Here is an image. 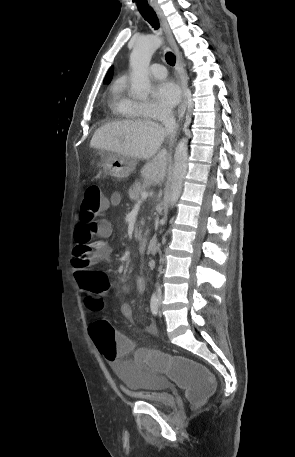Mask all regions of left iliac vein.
<instances>
[{
  "label": "left iliac vein",
  "instance_id": "left-iliac-vein-1",
  "mask_svg": "<svg viewBox=\"0 0 295 457\" xmlns=\"http://www.w3.org/2000/svg\"><path fill=\"white\" fill-rule=\"evenodd\" d=\"M159 305L161 306V302L159 303ZM159 315H161V310H159Z\"/></svg>",
  "mask_w": 295,
  "mask_h": 457
}]
</instances>
